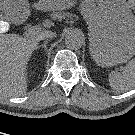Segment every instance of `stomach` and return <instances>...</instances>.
<instances>
[{"mask_svg":"<svg viewBox=\"0 0 135 135\" xmlns=\"http://www.w3.org/2000/svg\"><path fill=\"white\" fill-rule=\"evenodd\" d=\"M49 9H61V0H46ZM63 2V1H62ZM1 6L14 15L26 17L27 0H4ZM81 14L88 24L90 52L101 66H115L127 62L135 55V16L126 0H82Z\"/></svg>","mask_w":135,"mask_h":135,"instance_id":"obj_1","label":"stomach"}]
</instances>
